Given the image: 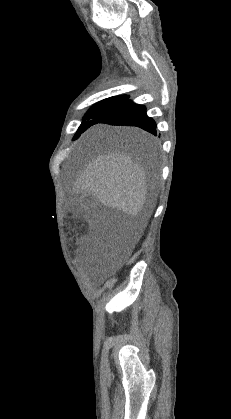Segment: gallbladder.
Instances as JSON below:
<instances>
[{"label": "gallbladder", "mask_w": 231, "mask_h": 419, "mask_svg": "<svg viewBox=\"0 0 231 419\" xmlns=\"http://www.w3.org/2000/svg\"><path fill=\"white\" fill-rule=\"evenodd\" d=\"M92 204H93V201H91V204H90V202H85V205H88V206H90Z\"/></svg>", "instance_id": "1"}]
</instances>
